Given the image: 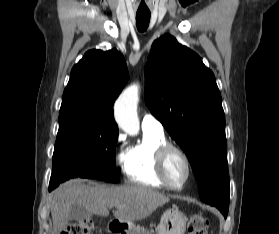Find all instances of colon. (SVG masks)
I'll return each instance as SVG.
<instances>
[{"label": "colon", "instance_id": "5ec220e1", "mask_svg": "<svg viewBox=\"0 0 279 234\" xmlns=\"http://www.w3.org/2000/svg\"><path fill=\"white\" fill-rule=\"evenodd\" d=\"M209 225L208 217L202 212H196L191 215L188 222L189 234H207ZM92 223L89 220H79L66 224L61 234H90Z\"/></svg>", "mask_w": 279, "mask_h": 234}]
</instances>
